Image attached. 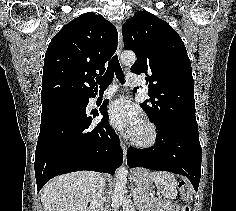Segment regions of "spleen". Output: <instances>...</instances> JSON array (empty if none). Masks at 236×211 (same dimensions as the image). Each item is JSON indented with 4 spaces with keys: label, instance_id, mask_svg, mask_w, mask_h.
<instances>
[{
    "label": "spleen",
    "instance_id": "1",
    "mask_svg": "<svg viewBox=\"0 0 236 211\" xmlns=\"http://www.w3.org/2000/svg\"><path fill=\"white\" fill-rule=\"evenodd\" d=\"M149 177L154 181L157 189L166 199L176 198L178 191L177 180L175 179L174 174L164 171H156L150 173Z\"/></svg>",
    "mask_w": 236,
    "mask_h": 211
}]
</instances>
